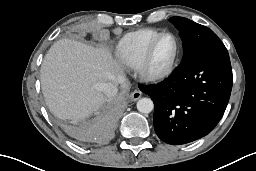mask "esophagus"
Masks as SVG:
<instances>
[{
  "instance_id": "obj_1",
  "label": "esophagus",
  "mask_w": 256,
  "mask_h": 171,
  "mask_svg": "<svg viewBox=\"0 0 256 171\" xmlns=\"http://www.w3.org/2000/svg\"><path fill=\"white\" fill-rule=\"evenodd\" d=\"M142 96V92L140 90H134L131 95H130V99L132 101H137L138 99H140Z\"/></svg>"
}]
</instances>
